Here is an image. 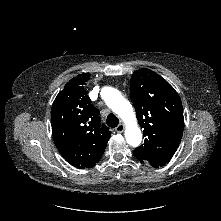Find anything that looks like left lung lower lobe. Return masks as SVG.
Returning a JSON list of instances; mask_svg holds the SVG:
<instances>
[{"instance_id": "1", "label": "left lung lower lobe", "mask_w": 221, "mask_h": 221, "mask_svg": "<svg viewBox=\"0 0 221 221\" xmlns=\"http://www.w3.org/2000/svg\"><path fill=\"white\" fill-rule=\"evenodd\" d=\"M141 163H144L145 161L141 159L139 156L134 155Z\"/></svg>"}]
</instances>
